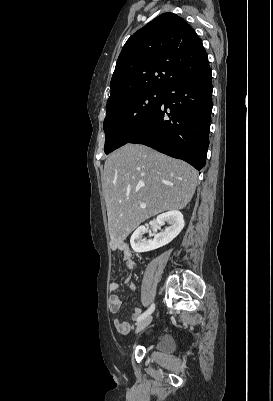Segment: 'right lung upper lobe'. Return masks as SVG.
I'll return each instance as SVG.
<instances>
[{
	"label": "right lung upper lobe",
	"mask_w": 273,
	"mask_h": 401,
	"mask_svg": "<svg viewBox=\"0 0 273 401\" xmlns=\"http://www.w3.org/2000/svg\"><path fill=\"white\" fill-rule=\"evenodd\" d=\"M208 62L201 39L187 22L164 13L133 34L123 46L111 79L107 106L148 90L163 91L185 72Z\"/></svg>",
	"instance_id": "cb5924a9"
}]
</instances>
